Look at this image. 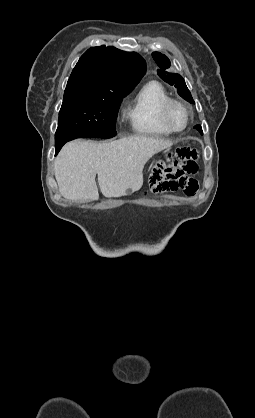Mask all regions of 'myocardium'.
<instances>
[{
  "mask_svg": "<svg viewBox=\"0 0 255 418\" xmlns=\"http://www.w3.org/2000/svg\"><path fill=\"white\" fill-rule=\"evenodd\" d=\"M175 105L181 106L185 110V112H186V116H187L186 124L181 129L174 128L172 126L171 122H170V119H169L171 109ZM161 121L164 124V126L167 129H169L171 132H174V133L182 132V131H184L188 127V125H189V123L191 121V110H190L189 106L185 102H183V101H181L179 99L169 98L163 104V106H162V110H161Z\"/></svg>",
  "mask_w": 255,
  "mask_h": 418,
  "instance_id": "1",
  "label": "myocardium"
}]
</instances>
